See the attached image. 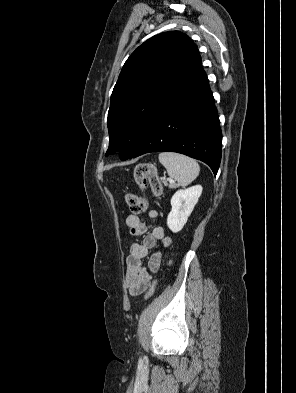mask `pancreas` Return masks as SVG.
Segmentation results:
<instances>
[{
  "instance_id": "obj_1",
  "label": "pancreas",
  "mask_w": 296,
  "mask_h": 393,
  "mask_svg": "<svg viewBox=\"0 0 296 393\" xmlns=\"http://www.w3.org/2000/svg\"><path fill=\"white\" fill-rule=\"evenodd\" d=\"M163 183L165 186H169V188H175L176 185L175 184H168L166 179H163Z\"/></svg>"
}]
</instances>
